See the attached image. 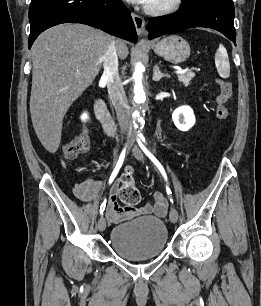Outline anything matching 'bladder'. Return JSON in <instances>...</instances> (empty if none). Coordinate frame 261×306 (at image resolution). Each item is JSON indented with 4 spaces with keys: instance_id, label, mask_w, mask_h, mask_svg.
Wrapping results in <instances>:
<instances>
[{
    "instance_id": "obj_1",
    "label": "bladder",
    "mask_w": 261,
    "mask_h": 306,
    "mask_svg": "<svg viewBox=\"0 0 261 306\" xmlns=\"http://www.w3.org/2000/svg\"><path fill=\"white\" fill-rule=\"evenodd\" d=\"M168 243L165 222L154 216H141L113 227L110 244L123 259L139 261L161 255Z\"/></svg>"
}]
</instances>
